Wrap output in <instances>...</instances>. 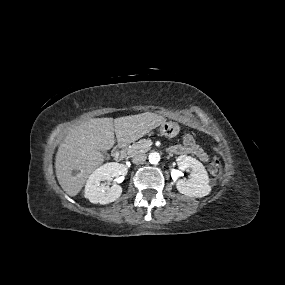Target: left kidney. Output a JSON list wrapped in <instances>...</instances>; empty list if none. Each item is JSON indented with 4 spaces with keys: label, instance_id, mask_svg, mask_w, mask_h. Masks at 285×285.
<instances>
[{
    "label": "left kidney",
    "instance_id": "1",
    "mask_svg": "<svg viewBox=\"0 0 285 285\" xmlns=\"http://www.w3.org/2000/svg\"><path fill=\"white\" fill-rule=\"evenodd\" d=\"M180 170L191 169L188 180L180 179L176 183L177 190L190 197H204L211 191L208 173L201 162L190 156L181 155L177 159Z\"/></svg>",
    "mask_w": 285,
    "mask_h": 285
}]
</instances>
